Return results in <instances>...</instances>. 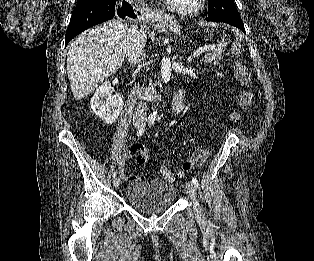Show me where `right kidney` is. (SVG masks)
<instances>
[{"mask_svg":"<svg viewBox=\"0 0 314 261\" xmlns=\"http://www.w3.org/2000/svg\"><path fill=\"white\" fill-rule=\"evenodd\" d=\"M111 83H103L91 98V109L105 123L112 124L118 118L123 109L121 94L111 95Z\"/></svg>","mask_w":314,"mask_h":261,"instance_id":"obj_1","label":"right kidney"}]
</instances>
